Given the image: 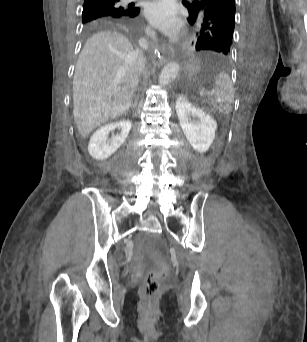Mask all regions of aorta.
I'll return each instance as SVG.
<instances>
[{
    "instance_id": "obj_1",
    "label": "aorta",
    "mask_w": 307,
    "mask_h": 342,
    "mask_svg": "<svg viewBox=\"0 0 307 342\" xmlns=\"http://www.w3.org/2000/svg\"><path fill=\"white\" fill-rule=\"evenodd\" d=\"M179 72V64H167L165 68H163L159 78L158 82L160 86H168L170 82H173L175 80L176 76H178Z\"/></svg>"
}]
</instances>
